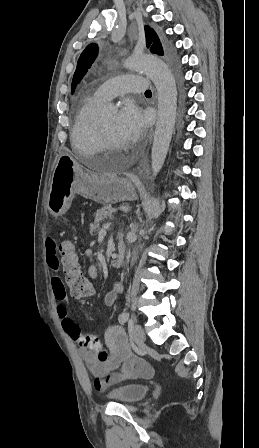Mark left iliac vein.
I'll list each match as a JSON object with an SVG mask.
<instances>
[{
	"label": "left iliac vein",
	"instance_id": "4c4485c4",
	"mask_svg": "<svg viewBox=\"0 0 259 448\" xmlns=\"http://www.w3.org/2000/svg\"><path fill=\"white\" fill-rule=\"evenodd\" d=\"M132 336L136 344H143L146 340L145 332L139 324H135L133 326Z\"/></svg>",
	"mask_w": 259,
	"mask_h": 448
}]
</instances>
